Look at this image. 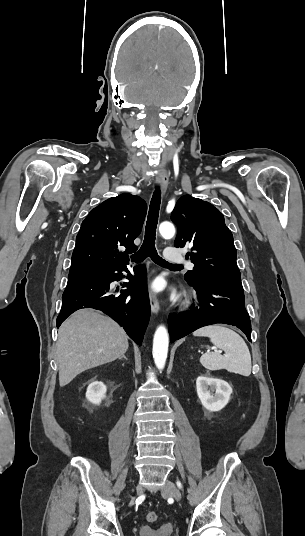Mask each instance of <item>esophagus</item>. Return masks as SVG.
I'll return each mask as SVG.
<instances>
[{
    "instance_id": "esophagus-1",
    "label": "esophagus",
    "mask_w": 305,
    "mask_h": 536,
    "mask_svg": "<svg viewBox=\"0 0 305 536\" xmlns=\"http://www.w3.org/2000/svg\"><path fill=\"white\" fill-rule=\"evenodd\" d=\"M168 176L166 175H158L156 176V183L157 185H160L161 186V190L163 193L166 192L167 190V186H168ZM149 300H150V305H151V310L153 313L157 314L159 312V302H158V299L156 297V295L150 290L149 291Z\"/></svg>"
}]
</instances>
